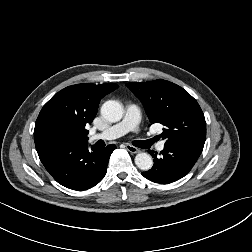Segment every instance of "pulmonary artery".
Returning a JSON list of instances; mask_svg holds the SVG:
<instances>
[{"mask_svg": "<svg viewBox=\"0 0 252 252\" xmlns=\"http://www.w3.org/2000/svg\"><path fill=\"white\" fill-rule=\"evenodd\" d=\"M140 121V110L134 104H128L125 108V115L123 119L117 124L109 127L100 133H94L90 136L91 141L95 140H112L125 135L130 131H136ZM164 143L160 142L157 145L159 151L163 150Z\"/></svg>", "mask_w": 252, "mask_h": 252, "instance_id": "obj_1", "label": "pulmonary artery"}]
</instances>
